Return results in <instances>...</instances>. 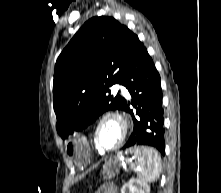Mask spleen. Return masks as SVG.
Wrapping results in <instances>:
<instances>
[{"label": "spleen", "instance_id": "1", "mask_svg": "<svg viewBox=\"0 0 221 193\" xmlns=\"http://www.w3.org/2000/svg\"><path fill=\"white\" fill-rule=\"evenodd\" d=\"M137 159L136 171L140 180L144 182L156 181L161 173V157L152 146H132Z\"/></svg>", "mask_w": 221, "mask_h": 193}]
</instances>
